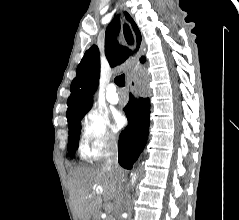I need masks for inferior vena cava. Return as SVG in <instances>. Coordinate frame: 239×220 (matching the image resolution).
<instances>
[{"instance_id": "inferior-vena-cava-1", "label": "inferior vena cava", "mask_w": 239, "mask_h": 220, "mask_svg": "<svg viewBox=\"0 0 239 220\" xmlns=\"http://www.w3.org/2000/svg\"><path fill=\"white\" fill-rule=\"evenodd\" d=\"M105 165L116 171L120 169L118 164V146L115 139L108 140L105 147ZM122 190V184L119 185Z\"/></svg>"}]
</instances>
